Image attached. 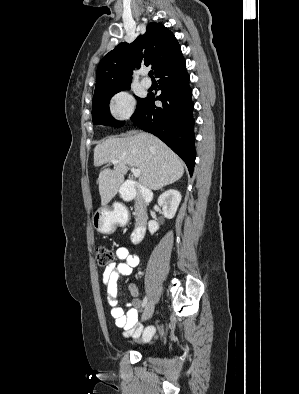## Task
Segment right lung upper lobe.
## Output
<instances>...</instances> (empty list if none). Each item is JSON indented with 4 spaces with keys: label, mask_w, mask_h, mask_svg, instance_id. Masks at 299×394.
<instances>
[{
    "label": "right lung upper lobe",
    "mask_w": 299,
    "mask_h": 394,
    "mask_svg": "<svg viewBox=\"0 0 299 394\" xmlns=\"http://www.w3.org/2000/svg\"><path fill=\"white\" fill-rule=\"evenodd\" d=\"M181 56L172 32L160 23H149L144 35L131 44L120 43L103 57L97 68L95 92L130 85L132 70L141 64H151L157 75Z\"/></svg>",
    "instance_id": "cb5924a9"
}]
</instances>
